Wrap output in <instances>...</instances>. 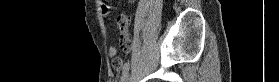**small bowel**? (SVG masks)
<instances>
[{
    "label": "small bowel",
    "instance_id": "1",
    "mask_svg": "<svg viewBox=\"0 0 279 82\" xmlns=\"http://www.w3.org/2000/svg\"><path fill=\"white\" fill-rule=\"evenodd\" d=\"M97 5L101 8L102 13L104 16H108L110 9L109 7H107L105 5V3H103L102 1H97ZM119 31H120V35H121V47L123 48V50L125 51H129L130 50V46H131V39L129 37V26L126 25L125 27L121 28L119 27ZM109 57L111 59H113V68L115 71H120L123 68V61L117 57L118 55V49L114 46L109 48L108 51Z\"/></svg>",
    "mask_w": 279,
    "mask_h": 82
}]
</instances>
